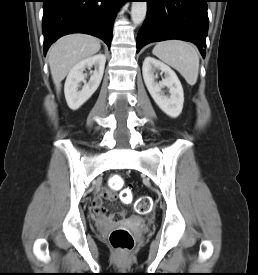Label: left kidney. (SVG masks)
<instances>
[{"mask_svg": "<svg viewBox=\"0 0 258 275\" xmlns=\"http://www.w3.org/2000/svg\"><path fill=\"white\" fill-rule=\"evenodd\" d=\"M156 70H161L165 75L160 82L155 80ZM142 73L145 85L155 103L165 114L177 118L182 112L184 93L176 73L168 65L153 57L145 58ZM164 87L169 89V95H165L162 90Z\"/></svg>", "mask_w": 258, "mask_h": 275, "instance_id": "left-kidney-1", "label": "left kidney"}]
</instances>
